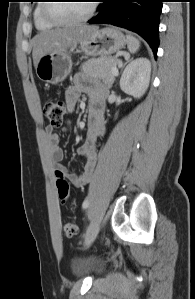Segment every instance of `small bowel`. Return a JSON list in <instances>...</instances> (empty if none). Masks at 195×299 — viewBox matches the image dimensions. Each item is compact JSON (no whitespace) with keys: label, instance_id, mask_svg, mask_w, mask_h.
Returning <instances> with one entry per match:
<instances>
[{"label":"small bowel","instance_id":"1","mask_svg":"<svg viewBox=\"0 0 195 299\" xmlns=\"http://www.w3.org/2000/svg\"><path fill=\"white\" fill-rule=\"evenodd\" d=\"M106 94L107 90L103 84L89 80L82 74L75 77L73 85L66 91L65 102L69 112L74 110L82 95H87L89 98L86 138L76 150L78 155L86 159L79 174L70 172L62 164L64 155L58 144V135L52 126L49 125L45 128L48 149L57 172H61L77 188L85 186L90 181L96 167V141L105 131L104 105ZM69 127L70 122L66 121L64 129L68 130Z\"/></svg>","mask_w":195,"mask_h":299}]
</instances>
